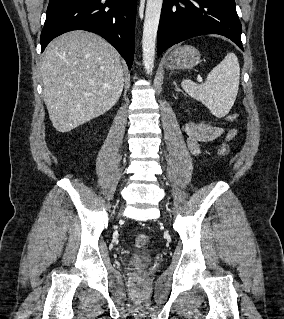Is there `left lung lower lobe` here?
Returning a JSON list of instances; mask_svg holds the SVG:
<instances>
[{
    "label": "left lung lower lobe",
    "instance_id": "obj_1",
    "mask_svg": "<svg viewBox=\"0 0 284 319\" xmlns=\"http://www.w3.org/2000/svg\"><path fill=\"white\" fill-rule=\"evenodd\" d=\"M242 26L234 0H163L157 34V54L186 39L219 34L244 51Z\"/></svg>",
    "mask_w": 284,
    "mask_h": 319
}]
</instances>
